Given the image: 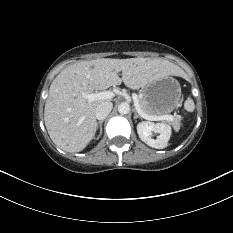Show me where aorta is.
Here are the masks:
<instances>
[{"label":"aorta","instance_id":"762f6f07","mask_svg":"<svg viewBox=\"0 0 233 233\" xmlns=\"http://www.w3.org/2000/svg\"><path fill=\"white\" fill-rule=\"evenodd\" d=\"M129 111H130V106L126 102H123L118 106V112L122 115L128 114Z\"/></svg>","mask_w":233,"mask_h":233}]
</instances>
